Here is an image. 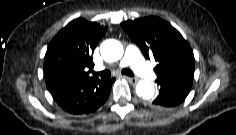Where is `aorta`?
I'll use <instances>...</instances> for the list:
<instances>
[{"label":"aorta","instance_id":"1","mask_svg":"<svg viewBox=\"0 0 236 135\" xmlns=\"http://www.w3.org/2000/svg\"><path fill=\"white\" fill-rule=\"evenodd\" d=\"M103 59L108 62L119 60L123 56L122 44L113 39L105 40L100 46ZM136 93L143 99H151L154 96V85L149 80H141L136 85Z\"/></svg>","mask_w":236,"mask_h":135}]
</instances>
